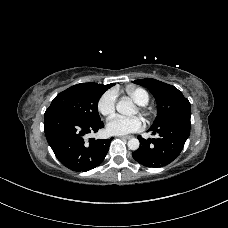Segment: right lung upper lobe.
I'll use <instances>...</instances> for the list:
<instances>
[{"mask_svg": "<svg viewBox=\"0 0 228 228\" xmlns=\"http://www.w3.org/2000/svg\"><path fill=\"white\" fill-rule=\"evenodd\" d=\"M106 88L113 86V84L104 85Z\"/></svg>", "mask_w": 228, "mask_h": 228, "instance_id": "1", "label": "right lung upper lobe"}]
</instances>
